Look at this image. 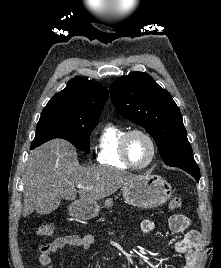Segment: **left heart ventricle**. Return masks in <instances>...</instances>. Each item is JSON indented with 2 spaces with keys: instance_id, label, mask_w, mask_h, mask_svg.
Instances as JSON below:
<instances>
[{
  "instance_id": "obj_1",
  "label": "left heart ventricle",
  "mask_w": 221,
  "mask_h": 268,
  "mask_svg": "<svg viewBox=\"0 0 221 268\" xmlns=\"http://www.w3.org/2000/svg\"><path fill=\"white\" fill-rule=\"evenodd\" d=\"M128 154L134 164H145L151 154L150 143L143 135L135 134L128 141Z\"/></svg>"
}]
</instances>
